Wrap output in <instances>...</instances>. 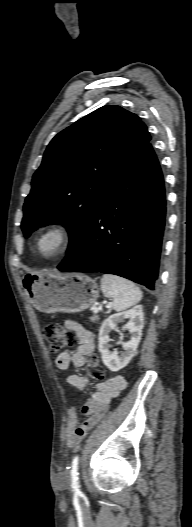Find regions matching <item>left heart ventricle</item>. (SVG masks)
<instances>
[{
    "instance_id": "obj_1",
    "label": "left heart ventricle",
    "mask_w": 192,
    "mask_h": 527,
    "mask_svg": "<svg viewBox=\"0 0 192 527\" xmlns=\"http://www.w3.org/2000/svg\"><path fill=\"white\" fill-rule=\"evenodd\" d=\"M57 244V236L55 234L46 235L41 241V247L45 252L51 251Z\"/></svg>"
}]
</instances>
